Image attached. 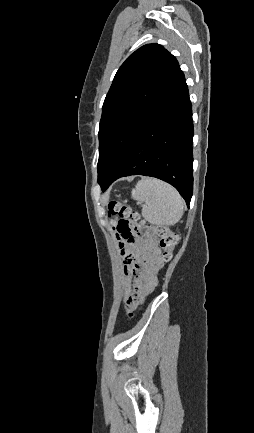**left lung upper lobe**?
Masks as SVG:
<instances>
[{
  "mask_svg": "<svg viewBox=\"0 0 254 433\" xmlns=\"http://www.w3.org/2000/svg\"><path fill=\"white\" fill-rule=\"evenodd\" d=\"M180 73L176 58L159 44L142 46L121 65L102 108L99 185L123 161L138 131Z\"/></svg>",
  "mask_w": 254,
  "mask_h": 433,
  "instance_id": "left-lung-upper-lobe-1",
  "label": "left lung upper lobe"
}]
</instances>
